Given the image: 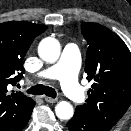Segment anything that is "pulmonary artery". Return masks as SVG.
Here are the masks:
<instances>
[{"label": "pulmonary artery", "mask_w": 131, "mask_h": 131, "mask_svg": "<svg viewBox=\"0 0 131 131\" xmlns=\"http://www.w3.org/2000/svg\"><path fill=\"white\" fill-rule=\"evenodd\" d=\"M80 66V52L76 44H67L60 59L53 65L39 72L36 77L58 79L65 93L75 102L82 103L86 96L81 89L77 74Z\"/></svg>", "instance_id": "e3ab8cb5"}]
</instances>
